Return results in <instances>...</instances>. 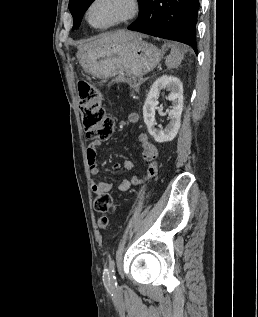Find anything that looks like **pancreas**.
I'll use <instances>...</instances> for the list:
<instances>
[{
	"label": "pancreas",
	"mask_w": 258,
	"mask_h": 317,
	"mask_svg": "<svg viewBox=\"0 0 258 317\" xmlns=\"http://www.w3.org/2000/svg\"><path fill=\"white\" fill-rule=\"evenodd\" d=\"M126 82H129V86H131V88H136L138 82H132V78H126Z\"/></svg>",
	"instance_id": "obj_1"
}]
</instances>
